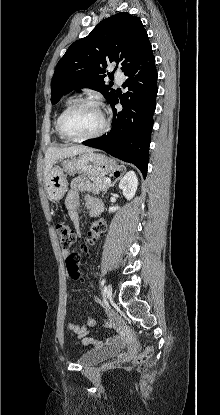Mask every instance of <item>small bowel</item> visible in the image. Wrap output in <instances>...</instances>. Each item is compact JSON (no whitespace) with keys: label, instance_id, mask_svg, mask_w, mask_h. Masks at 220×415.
Segmentation results:
<instances>
[{"label":"small bowel","instance_id":"obj_1","mask_svg":"<svg viewBox=\"0 0 220 415\" xmlns=\"http://www.w3.org/2000/svg\"><path fill=\"white\" fill-rule=\"evenodd\" d=\"M96 192V190L84 180H75L72 183L71 190L67 195V210L68 214L76 228L77 234L80 236V224L83 212H86L90 217H98L103 213V202L97 198L86 194L87 192ZM85 193L84 199H81V194ZM106 224L102 219L96 220L90 226L86 243L90 246L94 245L97 238L105 231ZM96 321L93 318L85 319L83 324L69 322L67 329L73 332L82 342L84 346H93L94 348H103L106 346H115L117 338H107L106 340H97L90 336L89 328L94 327ZM110 327V324L107 323Z\"/></svg>","mask_w":220,"mask_h":415}]
</instances>
